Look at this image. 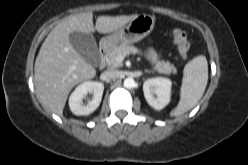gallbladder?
<instances>
[{"label":"gallbladder","mask_w":248,"mask_h":165,"mask_svg":"<svg viewBox=\"0 0 248 165\" xmlns=\"http://www.w3.org/2000/svg\"><path fill=\"white\" fill-rule=\"evenodd\" d=\"M69 40L73 48L84 58V60L93 66L100 63V53L95 38L92 34L82 32H71Z\"/></svg>","instance_id":"gallbladder-1"}]
</instances>
